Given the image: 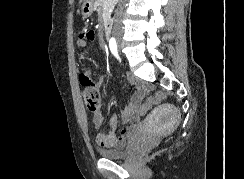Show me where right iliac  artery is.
<instances>
[{
	"mask_svg": "<svg viewBox=\"0 0 244 179\" xmlns=\"http://www.w3.org/2000/svg\"><path fill=\"white\" fill-rule=\"evenodd\" d=\"M109 47H110L112 54H114L118 58L117 43H116V40L114 38L110 39Z\"/></svg>",
	"mask_w": 244,
	"mask_h": 179,
	"instance_id": "1",
	"label": "right iliac artery"
}]
</instances>
